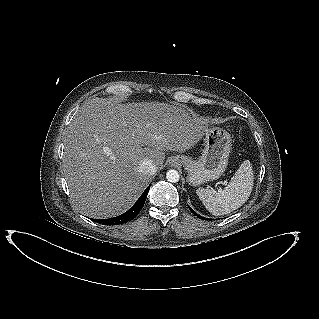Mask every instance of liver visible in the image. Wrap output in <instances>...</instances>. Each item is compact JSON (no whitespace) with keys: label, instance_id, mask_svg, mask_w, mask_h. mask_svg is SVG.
<instances>
[{"label":"liver","instance_id":"6515ba94","mask_svg":"<svg viewBox=\"0 0 319 319\" xmlns=\"http://www.w3.org/2000/svg\"><path fill=\"white\" fill-rule=\"evenodd\" d=\"M207 128V119L181 106L89 102L64 138L62 167L73 205L96 219L124 213L151 179L140 171L141 161L162 169L165 151L191 149Z\"/></svg>","mask_w":319,"mask_h":319}]
</instances>
